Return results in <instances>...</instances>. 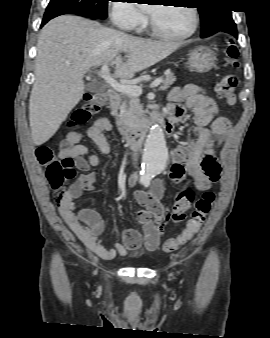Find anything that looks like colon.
Returning a JSON list of instances; mask_svg holds the SVG:
<instances>
[{"mask_svg": "<svg viewBox=\"0 0 270 338\" xmlns=\"http://www.w3.org/2000/svg\"><path fill=\"white\" fill-rule=\"evenodd\" d=\"M224 54L228 59L231 67L237 68L238 63V48L232 39H229L223 46ZM238 80L233 75L226 76L216 87V93L224 98L228 104L235 103V89ZM107 106V98L102 93H93L87 95L84 103L79 106L72 115V122L74 124H83L88 121L91 115L97 113L102 107ZM229 121L227 118H219L216 120L214 127L219 131H224L229 128ZM36 160L46 170V179L48 185L53 192L61 191L68 181L72 180L75 176L74 161L71 157H64L56 159L53 151L48 147H39L36 150ZM203 171L212 179L219 178V167L210 153L207 152L201 162ZM195 201V209L193 210L186 227L181 233L175 237L167 239L162 244V250L165 253H170L178 249L181 245L190 241L195 234L199 232L204 224L207 215L210 212L212 203L214 201V194L206 191L200 197L196 198L195 193L192 191L179 193L175 198V203L170 210L169 217L174 222H180L184 219L185 212L190 208ZM152 216L142 211L139 214L141 222H147Z\"/></svg>", "mask_w": 270, "mask_h": 338, "instance_id": "obj_1", "label": "colon"}]
</instances>
